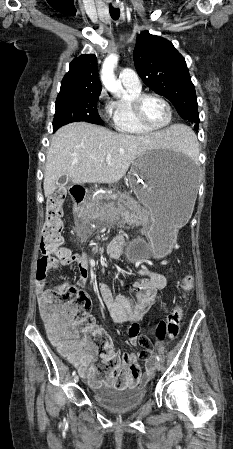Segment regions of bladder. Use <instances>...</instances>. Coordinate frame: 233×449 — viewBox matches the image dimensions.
Masks as SVG:
<instances>
[{"label":"bladder","mask_w":233,"mask_h":449,"mask_svg":"<svg viewBox=\"0 0 233 449\" xmlns=\"http://www.w3.org/2000/svg\"><path fill=\"white\" fill-rule=\"evenodd\" d=\"M145 387L117 389L103 386L92 390L95 404L107 411L124 413L137 409L146 401Z\"/></svg>","instance_id":"obj_1"}]
</instances>
